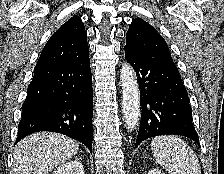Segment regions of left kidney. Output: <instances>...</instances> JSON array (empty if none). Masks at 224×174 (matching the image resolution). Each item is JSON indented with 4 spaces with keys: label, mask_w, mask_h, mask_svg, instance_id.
Wrapping results in <instances>:
<instances>
[{
    "label": "left kidney",
    "mask_w": 224,
    "mask_h": 174,
    "mask_svg": "<svg viewBox=\"0 0 224 174\" xmlns=\"http://www.w3.org/2000/svg\"><path fill=\"white\" fill-rule=\"evenodd\" d=\"M148 174H165L164 172H162L161 170L159 169H151Z\"/></svg>",
    "instance_id": "obj_1"
}]
</instances>
